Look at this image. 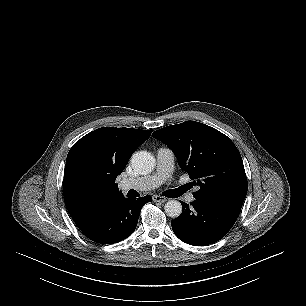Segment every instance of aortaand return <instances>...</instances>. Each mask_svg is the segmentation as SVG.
Here are the masks:
<instances>
[{
    "mask_svg": "<svg viewBox=\"0 0 306 306\" xmlns=\"http://www.w3.org/2000/svg\"><path fill=\"white\" fill-rule=\"evenodd\" d=\"M131 165L137 173L146 175L154 169L155 159L147 151H138L132 155ZM164 209L165 213L171 218H177L182 213V205L177 200H169Z\"/></svg>",
    "mask_w": 306,
    "mask_h": 306,
    "instance_id": "762f6f07",
    "label": "aorta"
}]
</instances>
